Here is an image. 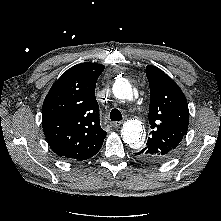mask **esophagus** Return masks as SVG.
I'll use <instances>...</instances> for the list:
<instances>
[{
  "instance_id": "esophagus-1",
  "label": "esophagus",
  "mask_w": 221,
  "mask_h": 221,
  "mask_svg": "<svg viewBox=\"0 0 221 221\" xmlns=\"http://www.w3.org/2000/svg\"><path fill=\"white\" fill-rule=\"evenodd\" d=\"M122 124H123L122 121H118V122H114V123L112 124V126L115 127V128H118V127H120Z\"/></svg>"
}]
</instances>
